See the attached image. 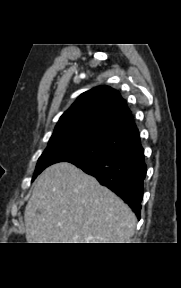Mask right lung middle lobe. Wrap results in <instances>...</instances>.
Here are the masks:
<instances>
[{"label": "right lung middle lobe", "instance_id": "obj_1", "mask_svg": "<svg viewBox=\"0 0 181 288\" xmlns=\"http://www.w3.org/2000/svg\"><path fill=\"white\" fill-rule=\"evenodd\" d=\"M106 154H109L106 148L79 138L49 141L37 162L32 181L45 168L54 163L72 162L77 159L100 157Z\"/></svg>", "mask_w": 181, "mask_h": 288}]
</instances>
